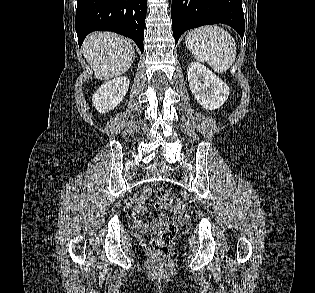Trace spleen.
<instances>
[{
  "label": "spleen",
  "mask_w": 315,
  "mask_h": 293,
  "mask_svg": "<svg viewBox=\"0 0 315 293\" xmlns=\"http://www.w3.org/2000/svg\"><path fill=\"white\" fill-rule=\"evenodd\" d=\"M185 44L199 62H207L218 73L226 72L236 58V43L225 29L209 25L189 31Z\"/></svg>",
  "instance_id": "spleen-1"
}]
</instances>
